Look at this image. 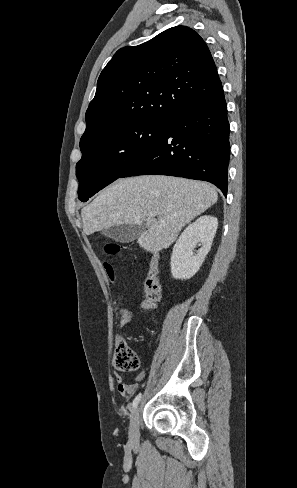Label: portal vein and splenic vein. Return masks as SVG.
Masks as SVG:
<instances>
[{
	"label": "portal vein and splenic vein",
	"instance_id": "1",
	"mask_svg": "<svg viewBox=\"0 0 297 488\" xmlns=\"http://www.w3.org/2000/svg\"><path fill=\"white\" fill-rule=\"evenodd\" d=\"M149 216H155V213L154 212H149L148 214Z\"/></svg>",
	"mask_w": 297,
	"mask_h": 488
}]
</instances>
